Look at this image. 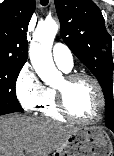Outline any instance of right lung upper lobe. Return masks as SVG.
Masks as SVG:
<instances>
[{
  "label": "right lung upper lobe",
  "instance_id": "cb5924a9",
  "mask_svg": "<svg viewBox=\"0 0 114 156\" xmlns=\"http://www.w3.org/2000/svg\"><path fill=\"white\" fill-rule=\"evenodd\" d=\"M35 0H5L0 4V61L25 64L27 28Z\"/></svg>",
  "mask_w": 114,
  "mask_h": 156
}]
</instances>
